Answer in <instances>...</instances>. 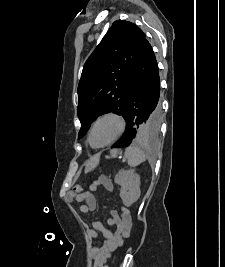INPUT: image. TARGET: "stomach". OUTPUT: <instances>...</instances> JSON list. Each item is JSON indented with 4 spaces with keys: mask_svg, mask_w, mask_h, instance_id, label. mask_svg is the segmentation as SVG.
<instances>
[{
    "mask_svg": "<svg viewBox=\"0 0 225 267\" xmlns=\"http://www.w3.org/2000/svg\"><path fill=\"white\" fill-rule=\"evenodd\" d=\"M97 161H98V159H97V158H95V159L93 160V163H92V165L94 166V165L97 163Z\"/></svg>",
    "mask_w": 225,
    "mask_h": 267,
    "instance_id": "obj_1",
    "label": "stomach"
}]
</instances>
